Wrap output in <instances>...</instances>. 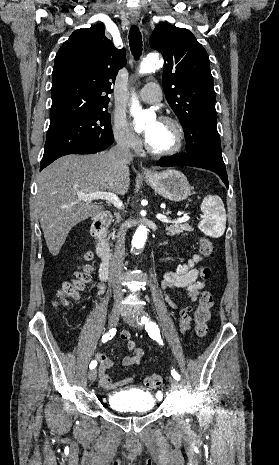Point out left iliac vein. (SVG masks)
Wrapping results in <instances>:
<instances>
[{
  "label": "left iliac vein",
  "mask_w": 279,
  "mask_h": 465,
  "mask_svg": "<svg viewBox=\"0 0 279 465\" xmlns=\"http://www.w3.org/2000/svg\"><path fill=\"white\" fill-rule=\"evenodd\" d=\"M124 321L127 324H129L130 326H132V327H135V328H138V329L143 328V324L140 321L138 316L127 315V316L124 317ZM169 381H170V385H171V390L172 391H177L178 388H179L178 380H176L174 377H171Z\"/></svg>",
  "instance_id": "4c4485c4"
}]
</instances>
